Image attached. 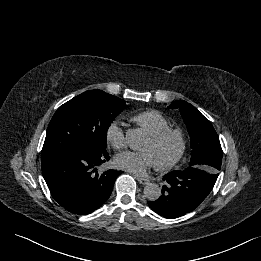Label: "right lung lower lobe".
I'll use <instances>...</instances> for the list:
<instances>
[{"label":"right lung lower lobe","mask_w":261,"mask_h":261,"mask_svg":"<svg viewBox=\"0 0 261 261\" xmlns=\"http://www.w3.org/2000/svg\"><path fill=\"white\" fill-rule=\"evenodd\" d=\"M107 151L73 149L44 153L42 174L53 198L62 207L78 215L89 214L110 196L122 171L97 167L109 160Z\"/></svg>","instance_id":"1"}]
</instances>
